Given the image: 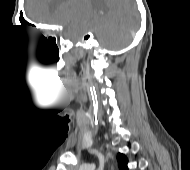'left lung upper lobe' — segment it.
<instances>
[{
    "instance_id": "left-lung-upper-lobe-1",
    "label": "left lung upper lobe",
    "mask_w": 190,
    "mask_h": 170,
    "mask_svg": "<svg viewBox=\"0 0 190 170\" xmlns=\"http://www.w3.org/2000/svg\"><path fill=\"white\" fill-rule=\"evenodd\" d=\"M117 158H118V161H119V168H120V170H128V168H127V162H128V160L125 157V155L119 153Z\"/></svg>"
}]
</instances>
